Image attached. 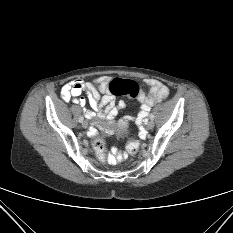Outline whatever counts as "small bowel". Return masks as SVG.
<instances>
[{"mask_svg":"<svg viewBox=\"0 0 233 233\" xmlns=\"http://www.w3.org/2000/svg\"><path fill=\"white\" fill-rule=\"evenodd\" d=\"M108 77H99L93 82H86L82 79H75L65 84L61 89V96L67 102H74L84 107L86 99L80 97L83 91H86L88 102L92 110L85 109V116L89 119L98 117L106 121L109 127H117L122 129L125 125L124 121L116 122L115 118L125 107V103L120 101L116 103L115 96L108 89ZM146 85L149 87L147 93L140 91L138 101L140 103V112L135 119L137 124L148 115L151 107L169 96V89L166 85L156 79H145ZM100 93L103 95L100 96ZM124 152L119 148H114L108 159L113 162L122 160Z\"/></svg>","mask_w":233,"mask_h":233,"instance_id":"1","label":"small bowel"}]
</instances>
